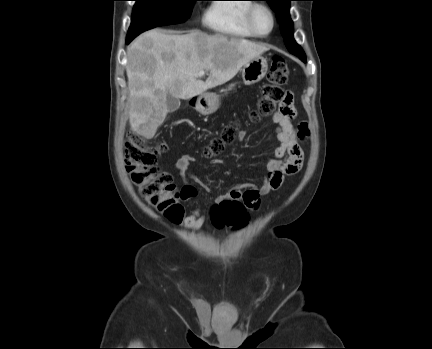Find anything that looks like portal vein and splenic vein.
<instances>
[{
  "label": "portal vein and splenic vein",
  "instance_id": "portal-vein-and-splenic-vein-1",
  "mask_svg": "<svg viewBox=\"0 0 432 349\" xmlns=\"http://www.w3.org/2000/svg\"><path fill=\"white\" fill-rule=\"evenodd\" d=\"M204 74H205L204 71H200V72L198 73V75H199L200 77L204 76Z\"/></svg>",
  "mask_w": 432,
  "mask_h": 349
}]
</instances>
